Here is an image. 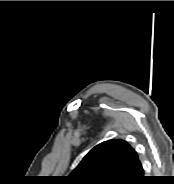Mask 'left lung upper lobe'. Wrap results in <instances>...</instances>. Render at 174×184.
<instances>
[{"label": "left lung upper lobe", "mask_w": 174, "mask_h": 184, "mask_svg": "<svg viewBox=\"0 0 174 184\" xmlns=\"http://www.w3.org/2000/svg\"><path fill=\"white\" fill-rule=\"evenodd\" d=\"M138 162L124 140L102 142L91 149L70 174L73 184H128Z\"/></svg>", "instance_id": "5c2ea615"}]
</instances>
